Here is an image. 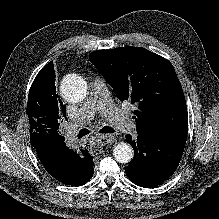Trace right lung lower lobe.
Here are the masks:
<instances>
[{
    "instance_id": "right-lung-lower-lobe-1",
    "label": "right lung lower lobe",
    "mask_w": 219,
    "mask_h": 219,
    "mask_svg": "<svg viewBox=\"0 0 219 219\" xmlns=\"http://www.w3.org/2000/svg\"><path fill=\"white\" fill-rule=\"evenodd\" d=\"M64 140L43 138L33 147L46 170L55 179L67 185L81 186L88 182L94 173L92 157L87 150L76 152L69 149ZM59 163L63 167L62 171L56 167Z\"/></svg>"
}]
</instances>
